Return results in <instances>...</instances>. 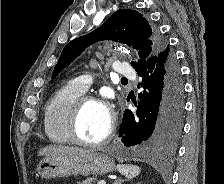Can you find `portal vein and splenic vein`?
<instances>
[{
    "instance_id": "obj_1",
    "label": "portal vein and splenic vein",
    "mask_w": 224,
    "mask_h": 184,
    "mask_svg": "<svg viewBox=\"0 0 224 184\" xmlns=\"http://www.w3.org/2000/svg\"><path fill=\"white\" fill-rule=\"evenodd\" d=\"M97 184H106L104 180L98 181Z\"/></svg>"
}]
</instances>
